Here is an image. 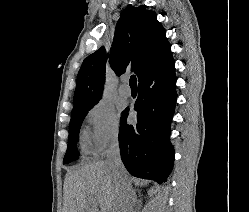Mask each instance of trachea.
Here are the masks:
<instances>
[{"instance_id":"3493384b","label":"trachea","mask_w":249,"mask_h":212,"mask_svg":"<svg viewBox=\"0 0 249 212\" xmlns=\"http://www.w3.org/2000/svg\"><path fill=\"white\" fill-rule=\"evenodd\" d=\"M129 83L131 88H137V79L135 75H131Z\"/></svg>"}]
</instances>
